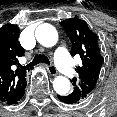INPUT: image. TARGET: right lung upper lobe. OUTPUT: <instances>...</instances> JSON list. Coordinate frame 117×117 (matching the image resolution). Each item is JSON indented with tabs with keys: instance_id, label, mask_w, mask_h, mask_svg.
Wrapping results in <instances>:
<instances>
[{
	"instance_id": "right-lung-upper-lobe-1",
	"label": "right lung upper lobe",
	"mask_w": 117,
	"mask_h": 117,
	"mask_svg": "<svg viewBox=\"0 0 117 117\" xmlns=\"http://www.w3.org/2000/svg\"><path fill=\"white\" fill-rule=\"evenodd\" d=\"M20 29L13 24L0 28V101L6 102L26 81V70L17 68L18 58L24 55V49L18 41Z\"/></svg>"
}]
</instances>
